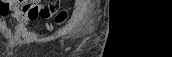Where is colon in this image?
<instances>
[{"mask_svg":"<svg viewBox=\"0 0 172 57\" xmlns=\"http://www.w3.org/2000/svg\"><path fill=\"white\" fill-rule=\"evenodd\" d=\"M56 10L57 8L54 7L52 4H50L48 7H43V8L28 7L27 5L23 8V12L31 16H35L38 14H47L48 12H55ZM66 19H67V12L61 11L56 16L55 21L57 24H62L63 22H65Z\"/></svg>","mask_w":172,"mask_h":57,"instance_id":"1","label":"colon"}]
</instances>
